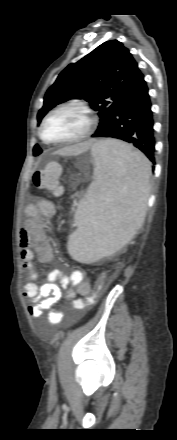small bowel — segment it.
Returning a JSON list of instances; mask_svg holds the SVG:
<instances>
[{
	"label": "small bowel",
	"mask_w": 177,
	"mask_h": 440,
	"mask_svg": "<svg viewBox=\"0 0 177 440\" xmlns=\"http://www.w3.org/2000/svg\"><path fill=\"white\" fill-rule=\"evenodd\" d=\"M55 212V205L47 200L28 205L25 208L26 226L20 235V259L29 279L22 287L23 296L29 300L28 312L31 317L37 318L50 310L49 321L52 324L61 322L65 317L63 312L52 309L63 297L72 301L76 296L85 297L91 289L90 282L80 270L66 274L53 269L47 274L44 284L35 283L38 278L33 265L35 253L42 263L54 261L51 246L44 235V220L54 216Z\"/></svg>",
	"instance_id": "1"
}]
</instances>
